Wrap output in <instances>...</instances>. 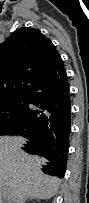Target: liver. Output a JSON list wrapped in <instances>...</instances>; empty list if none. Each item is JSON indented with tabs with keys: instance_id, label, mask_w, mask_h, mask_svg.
<instances>
[{
	"instance_id": "liver-1",
	"label": "liver",
	"mask_w": 89,
	"mask_h": 203,
	"mask_svg": "<svg viewBox=\"0 0 89 203\" xmlns=\"http://www.w3.org/2000/svg\"><path fill=\"white\" fill-rule=\"evenodd\" d=\"M25 140L17 136L0 138V195L6 203L50 199L58 188V179L39 171L44 158L20 149Z\"/></svg>"
}]
</instances>
